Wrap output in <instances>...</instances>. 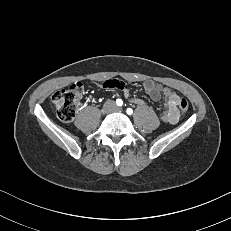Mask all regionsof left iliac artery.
<instances>
[{
	"label": "left iliac artery",
	"mask_w": 231,
	"mask_h": 231,
	"mask_svg": "<svg viewBox=\"0 0 231 231\" xmlns=\"http://www.w3.org/2000/svg\"><path fill=\"white\" fill-rule=\"evenodd\" d=\"M126 112L127 114L131 115L133 113V110L131 108H127Z\"/></svg>",
	"instance_id": "left-iliac-artery-1"
}]
</instances>
